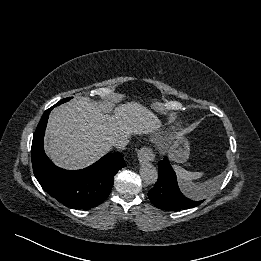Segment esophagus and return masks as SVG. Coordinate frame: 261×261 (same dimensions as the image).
Instances as JSON below:
<instances>
[{
	"label": "esophagus",
	"instance_id": "obj_1",
	"mask_svg": "<svg viewBox=\"0 0 261 261\" xmlns=\"http://www.w3.org/2000/svg\"><path fill=\"white\" fill-rule=\"evenodd\" d=\"M137 157L140 163H147L154 160L155 154L152 148L144 146L138 150Z\"/></svg>",
	"mask_w": 261,
	"mask_h": 261
}]
</instances>
